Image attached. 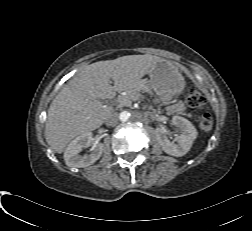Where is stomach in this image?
I'll return each instance as SVG.
<instances>
[{
    "label": "stomach",
    "mask_w": 252,
    "mask_h": 231,
    "mask_svg": "<svg viewBox=\"0 0 252 231\" xmlns=\"http://www.w3.org/2000/svg\"><path fill=\"white\" fill-rule=\"evenodd\" d=\"M150 87L160 96L176 98L184 88V79L177 68L164 59H160L149 72Z\"/></svg>",
    "instance_id": "obj_1"
}]
</instances>
